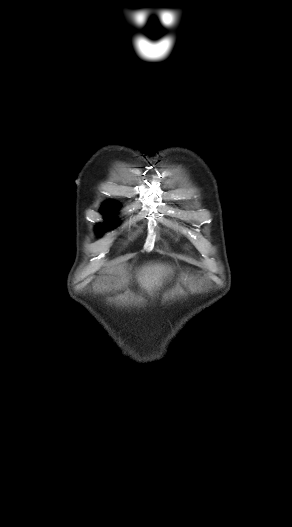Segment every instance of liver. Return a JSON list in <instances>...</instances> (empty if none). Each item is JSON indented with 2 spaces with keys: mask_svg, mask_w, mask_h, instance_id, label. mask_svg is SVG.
<instances>
[{
  "mask_svg": "<svg viewBox=\"0 0 292 527\" xmlns=\"http://www.w3.org/2000/svg\"><path fill=\"white\" fill-rule=\"evenodd\" d=\"M171 271V268L165 264L149 263L137 272V279L142 288L152 292L162 285Z\"/></svg>",
  "mask_w": 292,
  "mask_h": 527,
  "instance_id": "6515ba94",
  "label": "liver"
}]
</instances>
